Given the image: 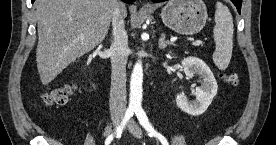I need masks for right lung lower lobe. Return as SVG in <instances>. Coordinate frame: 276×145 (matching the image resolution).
I'll return each mask as SVG.
<instances>
[{"label": "right lung lower lobe", "mask_w": 276, "mask_h": 145, "mask_svg": "<svg viewBox=\"0 0 276 145\" xmlns=\"http://www.w3.org/2000/svg\"><path fill=\"white\" fill-rule=\"evenodd\" d=\"M34 1H35V0H31L32 3H33ZM122 1H124L125 3L130 4V3L134 2L135 0H122Z\"/></svg>", "instance_id": "right-lung-lower-lobe-1"}]
</instances>
